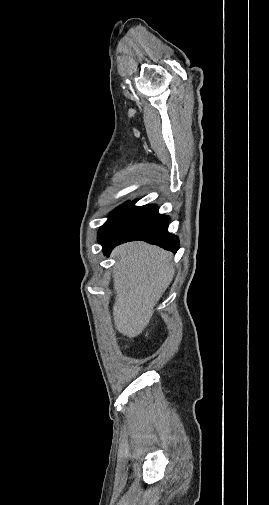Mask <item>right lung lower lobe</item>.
Instances as JSON below:
<instances>
[{"instance_id": "1", "label": "right lung lower lobe", "mask_w": 269, "mask_h": 505, "mask_svg": "<svg viewBox=\"0 0 269 505\" xmlns=\"http://www.w3.org/2000/svg\"><path fill=\"white\" fill-rule=\"evenodd\" d=\"M134 203L118 214L100 241L104 254L108 256L115 246L134 240H143L176 253L179 239L168 232L169 217L159 214L155 205L137 207Z\"/></svg>"}]
</instances>
